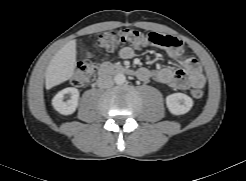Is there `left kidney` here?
Listing matches in <instances>:
<instances>
[{"label":"left kidney","instance_id":"obj_1","mask_svg":"<svg viewBox=\"0 0 246 181\" xmlns=\"http://www.w3.org/2000/svg\"><path fill=\"white\" fill-rule=\"evenodd\" d=\"M166 105L174 115H183L190 111L193 100L184 93H173L166 97Z\"/></svg>","mask_w":246,"mask_h":181}]
</instances>
